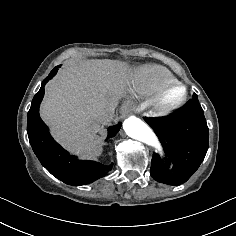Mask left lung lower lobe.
Here are the masks:
<instances>
[{"mask_svg":"<svg viewBox=\"0 0 236 236\" xmlns=\"http://www.w3.org/2000/svg\"><path fill=\"white\" fill-rule=\"evenodd\" d=\"M144 120L158 136L166 154L165 161L153 154L151 176L168 185L186 182L204 160L209 145V130L197 95L169 116Z\"/></svg>","mask_w":236,"mask_h":236,"instance_id":"left-lung-lower-lobe-1","label":"left lung lower lobe"}]
</instances>
